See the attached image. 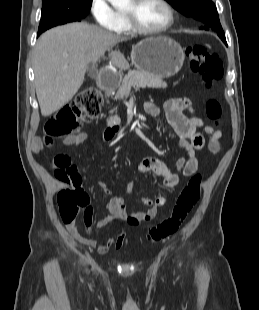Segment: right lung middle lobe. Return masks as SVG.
I'll return each mask as SVG.
<instances>
[{
  "label": "right lung middle lobe",
  "mask_w": 259,
  "mask_h": 310,
  "mask_svg": "<svg viewBox=\"0 0 259 310\" xmlns=\"http://www.w3.org/2000/svg\"><path fill=\"white\" fill-rule=\"evenodd\" d=\"M92 0H52L42 3L38 34L69 22L81 21L90 11Z\"/></svg>",
  "instance_id": "obj_1"
}]
</instances>
